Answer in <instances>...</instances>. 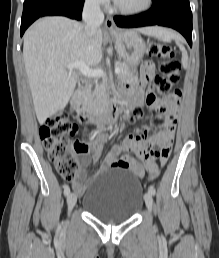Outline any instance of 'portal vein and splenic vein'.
I'll return each instance as SVG.
<instances>
[{
    "label": "portal vein and splenic vein",
    "instance_id": "obj_1",
    "mask_svg": "<svg viewBox=\"0 0 219 258\" xmlns=\"http://www.w3.org/2000/svg\"><path fill=\"white\" fill-rule=\"evenodd\" d=\"M69 70L78 69L83 75L87 77H102L104 72L100 69H90L85 63L77 61L75 63L67 65ZM121 71L119 66L115 67V73L119 74Z\"/></svg>",
    "mask_w": 219,
    "mask_h": 258
}]
</instances>
